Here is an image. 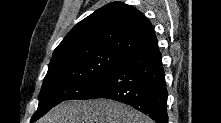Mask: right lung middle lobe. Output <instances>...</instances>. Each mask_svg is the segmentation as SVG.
<instances>
[{"instance_id": "1", "label": "right lung middle lobe", "mask_w": 221, "mask_h": 123, "mask_svg": "<svg viewBox=\"0 0 221 123\" xmlns=\"http://www.w3.org/2000/svg\"><path fill=\"white\" fill-rule=\"evenodd\" d=\"M127 57L110 49L95 48L51 59L42 84L39 106L32 121L65 100L89 99L98 81Z\"/></svg>"}]
</instances>
